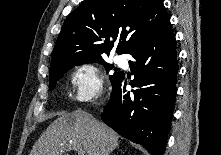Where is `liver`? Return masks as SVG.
Listing matches in <instances>:
<instances>
[{"mask_svg":"<svg viewBox=\"0 0 221 155\" xmlns=\"http://www.w3.org/2000/svg\"><path fill=\"white\" fill-rule=\"evenodd\" d=\"M119 145V135L91 114L76 110L54 120L33 145L30 155H68L77 146L86 155H110Z\"/></svg>","mask_w":221,"mask_h":155,"instance_id":"liver-1","label":"liver"}]
</instances>
